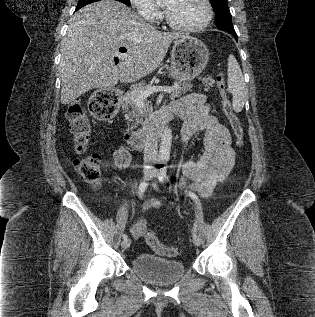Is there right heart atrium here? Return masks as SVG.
I'll return each instance as SVG.
<instances>
[{"label": "right heart atrium", "instance_id": "obj_1", "mask_svg": "<svg viewBox=\"0 0 315 317\" xmlns=\"http://www.w3.org/2000/svg\"><path fill=\"white\" fill-rule=\"evenodd\" d=\"M130 3L135 11L147 21L155 22L161 17L152 0H130Z\"/></svg>", "mask_w": 315, "mask_h": 317}]
</instances>
